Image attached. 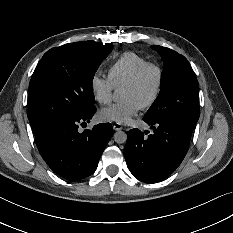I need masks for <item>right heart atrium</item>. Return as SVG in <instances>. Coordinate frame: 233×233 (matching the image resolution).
Returning a JSON list of instances; mask_svg holds the SVG:
<instances>
[{"mask_svg":"<svg viewBox=\"0 0 233 233\" xmlns=\"http://www.w3.org/2000/svg\"><path fill=\"white\" fill-rule=\"evenodd\" d=\"M90 88L99 103L108 104L111 101L114 87L108 78L100 77L97 74L92 75Z\"/></svg>","mask_w":233,"mask_h":233,"instance_id":"right-heart-atrium-1","label":"right heart atrium"}]
</instances>
